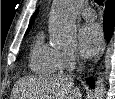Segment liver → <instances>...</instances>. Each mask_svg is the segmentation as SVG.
Instances as JSON below:
<instances>
[{"instance_id": "liver-1", "label": "liver", "mask_w": 115, "mask_h": 99, "mask_svg": "<svg viewBox=\"0 0 115 99\" xmlns=\"http://www.w3.org/2000/svg\"><path fill=\"white\" fill-rule=\"evenodd\" d=\"M71 76H31L18 80L13 89L14 99H82Z\"/></svg>"}]
</instances>
